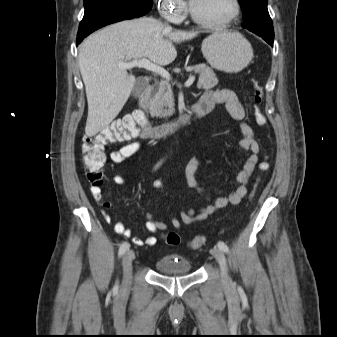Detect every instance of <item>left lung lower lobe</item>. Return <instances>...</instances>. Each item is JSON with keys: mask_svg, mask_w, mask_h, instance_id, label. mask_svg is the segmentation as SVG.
<instances>
[{"mask_svg": "<svg viewBox=\"0 0 337 337\" xmlns=\"http://www.w3.org/2000/svg\"><path fill=\"white\" fill-rule=\"evenodd\" d=\"M246 29L262 37L268 44L273 45L274 32H269L267 30H263L259 28H246Z\"/></svg>", "mask_w": 337, "mask_h": 337, "instance_id": "obj_1", "label": "left lung lower lobe"}]
</instances>
